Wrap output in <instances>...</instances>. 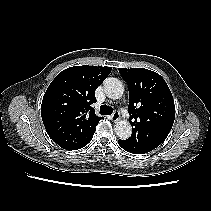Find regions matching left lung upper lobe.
<instances>
[{
  "instance_id": "left-lung-upper-lobe-1",
  "label": "left lung upper lobe",
  "mask_w": 211,
  "mask_h": 211,
  "mask_svg": "<svg viewBox=\"0 0 211 211\" xmlns=\"http://www.w3.org/2000/svg\"><path fill=\"white\" fill-rule=\"evenodd\" d=\"M129 89V121L133 133L125 140L133 147H158L168 136L175 118V105L165 80L144 68H119Z\"/></svg>"
}]
</instances>
